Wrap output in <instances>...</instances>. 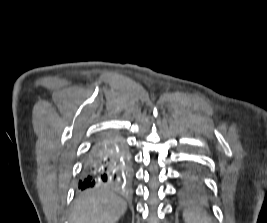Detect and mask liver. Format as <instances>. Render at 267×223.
<instances>
[{
  "mask_svg": "<svg viewBox=\"0 0 267 223\" xmlns=\"http://www.w3.org/2000/svg\"><path fill=\"white\" fill-rule=\"evenodd\" d=\"M127 210V203L101 189L83 192L76 200L70 223H116Z\"/></svg>",
  "mask_w": 267,
  "mask_h": 223,
  "instance_id": "1",
  "label": "liver"
}]
</instances>
